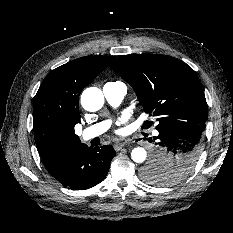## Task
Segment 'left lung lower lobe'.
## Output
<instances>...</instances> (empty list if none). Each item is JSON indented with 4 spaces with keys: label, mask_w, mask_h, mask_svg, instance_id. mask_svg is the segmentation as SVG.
I'll list each match as a JSON object with an SVG mask.
<instances>
[{
    "label": "left lung lower lobe",
    "mask_w": 233,
    "mask_h": 233,
    "mask_svg": "<svg viewBox=\"0 0 233 233\" xmlns=\"http://www.w3.org/2000/svg\"><path fill=\"white\" fill-rule=\"evenodd\" d=\"M206 125L175 124L166 129H158L159 135L149 138L157 147L152 160L169 167L187 161L197 162L202 149V132Z\"/></svg>",
    "instance_id": "obj_1"
}]
</instances>
